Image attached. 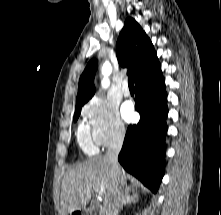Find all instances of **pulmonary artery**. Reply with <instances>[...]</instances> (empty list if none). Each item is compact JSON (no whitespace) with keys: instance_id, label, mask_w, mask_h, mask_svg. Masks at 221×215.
I'll return each instance as SVG.
<instances>
[{"instance_id":"obj_1","label":"pulmonary artery","mask_w":221,"mask_h":215,"mask_svg":"<svg viewBox=\"0 0 221 215\" xmlns=\"http://www.w3.org/2000/svg\"><path fill=\"white\" fill-rule=\"evenodd\" d=\"M122 93L124 96L128 97L130 95V90L127 86V84H124L122 87Z\"/></svg>"}]
</instances>
